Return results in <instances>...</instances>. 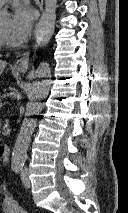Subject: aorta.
Here are the masks:
<instances>
[{
  "instance_id": "obj_1",
  "label": "aorta",
  "mask_w": 128,
  "mask_h": 213,
  "mask_svg": "<svg viewBox=\"0 0 128 213\" xmlns=\"http://www.w3.org/2000/svg\"><path fill=\"white\" fill-rule=\"evenodd\" d=\"M56 7L57 0H45V9L35 31L36 42L39 47L46 46L54 33ZM7 16V12L0 11V21L5 20ZM35 76L39 80L33 85L29 93V102L26 105L25 118L12 151V168L23 167L26 161L31 136L37 123L34 116L39 115L42 111L43 103L41 100L48 95L50 89L51 82L49 78L51 76V71L49 64L41 62L35 71Z\"/></svg>"
}]
</instances>
